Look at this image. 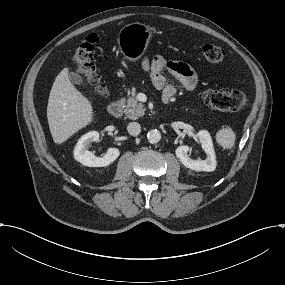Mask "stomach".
<instances>
[{"instance_id":"stomach-1","label":"stomach","mask_w":285,"mask_h":285,"mask_svg":"<svg viewBox=\"0 0 285 285\" xmlns=\"http://www.w3.org/2000/svg\"><path fill=\"white\" fill-rule=\"evenodd\" d=\"M151 36L149 26L136 22L121 28L117 42L124 57L136 61L144 54Z\"/></svg>"}]
</instances>
